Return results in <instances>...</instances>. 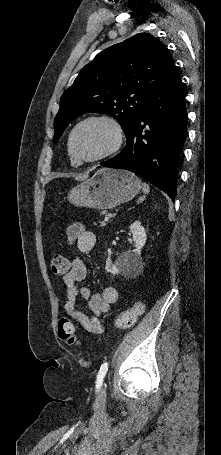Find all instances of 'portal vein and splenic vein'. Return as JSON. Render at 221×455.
I'll list each match as a JSON object with an SVG mask.
<instances>
[{"label":"portal vein and splenic vein","mask_w":221,"mask_h":455,"mask_svg":"<svg viewBox=\"0 0 221 455\" xmlns=\"http://www.w3.org/2000/svg\"><path fill=\"white\" fill-rule=\"evenodd\" d=\"M111 217H112L111 215H106L105 218H104V221H105V222L109 221V219H110Z\"/></svg>","instance_id":"18ae733b"}]
</instances>
